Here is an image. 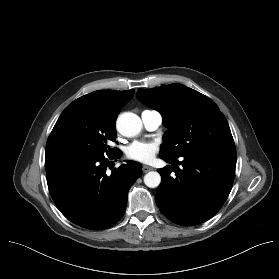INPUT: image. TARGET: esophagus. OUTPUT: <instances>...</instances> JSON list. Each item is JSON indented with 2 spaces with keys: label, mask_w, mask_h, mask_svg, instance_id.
Returning a JSON list of instances; mask_svg holds the SVG:
<instances>
[{
  "label": "esophagus",
  "mask_w": 279,
  "mask_h": 279,
  "mask_svg": "<svg viewBox=\"0 0 279 279\" xmlns=\"http://www.w3.org/2000/svg\"><path fill=\"white\" fill-rule=\"evenodd\" d=\"M152 169H153L152 167L146 166V165H144V166L142 167V171H143L144 173H147V172L151 171Z\"/></svg>",
  "instance_id": "esophagus-1"
}]
</instances>
